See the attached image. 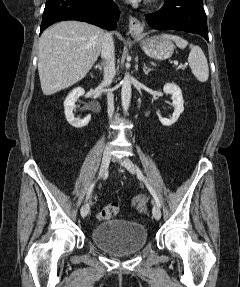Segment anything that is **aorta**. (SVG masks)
Listing matches in <instances>:
<instances>
[{
    "label": "aorta",
    "instance_id": "aorta-1",
    "mask_svg": "<svg viewBox=\"0 0 240 287\" xmlns=\"http://www.w3.org/2000/svg\"><path fill=\"white\" fill-rule=\"evenodd\" d=\"M121 101L123 111L127 113L131 101V81L128 75L122 81Z\"/></svg>",
    "mask_w": 240,
    "mask_h": 287
}]
</instances>
